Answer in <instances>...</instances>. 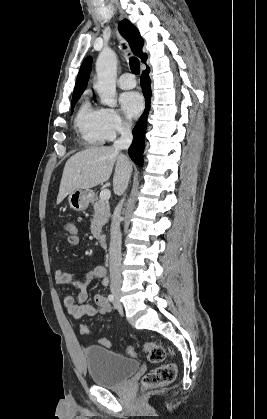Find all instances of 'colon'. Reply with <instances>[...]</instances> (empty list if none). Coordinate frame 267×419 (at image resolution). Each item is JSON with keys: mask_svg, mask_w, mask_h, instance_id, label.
<instances>
[{"mask_svg": "<svg viewBox=\"0 0 267 419\" xmlns=\"http://www.w3.org/2000/svg\"><path fill=\"white\" fill-rule=\"evenodd\" d=\"M64 229L67 234V242L72 246L77 245L80 239L77 225L72 221H68L65 223ZM79 330L82 335H86L89 332V328L85 324L80 325ZM100 343L104 347H110L111 344L109 339L105 337L100 340ZM143 350L146 352L149 362L158 364L155 369L143 377V385L147 388H154L172 383L176 378V366L172 363H166L167 355L165 349L161 345L145 342ZM127 353L130 356L136 355L133 347H128Z\"/></svg>", "mask_w": 267, "mask_h": 419, "instance_id": "5ec220e1", "label": "colon"}]
</instances>
